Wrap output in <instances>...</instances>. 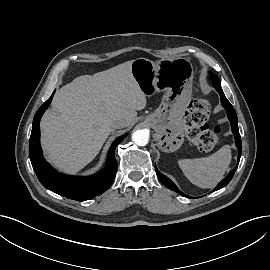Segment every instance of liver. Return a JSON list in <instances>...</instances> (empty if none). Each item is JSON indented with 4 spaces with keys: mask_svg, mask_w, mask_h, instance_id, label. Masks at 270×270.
<instances>
[{
    "mask_svg": "<svg viewBox=\"0 0 270 270\" xmlns=\"http://www.w3.org/2000/svg\"><path fill=\"white\" fill-rule=\"evenodd\" d=\"M133 60L94 75H82L58 90L41 120L42 146L48 159L76 173L99 153L115 120L134 123L146 95L131 73Z\"/></svg>",
    "mask_w": 270,
    "mask_h": 270,
    "instance_id": "6515ba94",
    "label": "liver"
}]
</instances>
